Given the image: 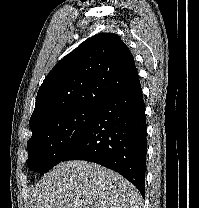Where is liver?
<instances>
[{"label": "liver", "instance_id": "liver-1", "mask_svg": "<svg viewBox=\"0 0 199 208\" xmlns=\"http://www.w3.org/2000/svg\"><path fill=\"white\" fill-rule=\"evenodd\" d=\"M139 191L124 177L87 161L61 162L35 185L29 208H141Z\"/></svg>", "mask_w": 199, "mask_h": 208}]
</instances>
